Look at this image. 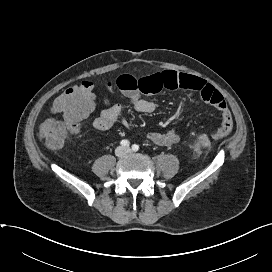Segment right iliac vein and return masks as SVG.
<instances>
[{
    "mask_svg": "<svg viewBox=\"0 0 272 272\" xmlns=\"http://www.w3.org/2000/svg\"><path fill=\"white\" fill-rule=\"evenodd\" d=\"M115 153L118 157H122L126 153V149L123 147H118Z\"/></svg>",
    "mask_w": 272,
    "mask_h": 272,
    "instance_id": "right-iliac-vein-1",
    "label": "right iliac vein"
}]
</instances>
